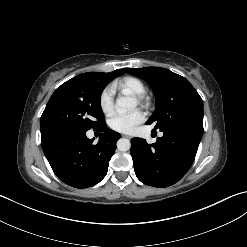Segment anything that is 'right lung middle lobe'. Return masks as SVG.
I'll return each instance as SVG.
<instances>
[{
	"instance_id": "dd1d6c3e",
	"label": "right lung middle lobe",
	"mask_w": 247,
	"mask_h": 247,
	"mask_svg": "<svg viewBox=\"0 0 247 247\" xmlns=\"http://www.w3.org/2000/svg\"><path fill=\"white\" fill-rule=\"evenodd\" d=\"M108 82L80 74L58 87L40 119L41 136L55 132H86L105 123L100 96Z\"/></svg>"
}]
</instances>
